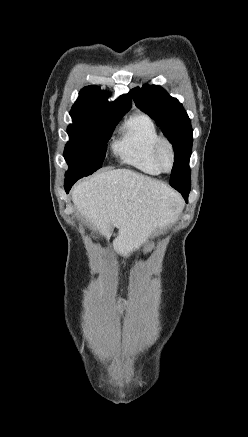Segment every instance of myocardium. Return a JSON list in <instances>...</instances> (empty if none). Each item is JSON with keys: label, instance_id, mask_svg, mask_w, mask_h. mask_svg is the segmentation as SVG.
<instances>
[{"label": "myocardium", "instance_id": "f54148a6", "mask_svg": "<svg viewBox=\"0 0 248 437\" xmlns=\"http://www.w3.org/2000/svg\"><path fill=\"white\" fill-rule=\"evenodd\" d=\"M169 155V165H165L164 154ZM154 158L162 172H171L175 165V150L172 143L166 138H160L154 147Z\"/></svg>", "mask_w": 248, "mask_h": 437}]
</instances>
